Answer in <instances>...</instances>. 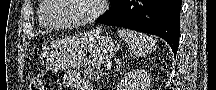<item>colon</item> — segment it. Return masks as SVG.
<instances>
[{"label": "colon", "instance_id": "5ec220e1", "mask_svg": "<svg viewBox=\"0 0 216 90\" xmlns=\"http://www.w3.org/2000/svg\"><path fill=\"white\" fill-rule=\"evenodd\" d=\"M30 90H43L44 85L42 79L39 76H34L30 81Z\"/></svg>", "mask_w": 216, "mask_h": 90}]
</instances>
